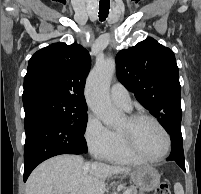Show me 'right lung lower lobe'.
I'll return each instance as SVG.
<instances>
[{"label": "right lung lower lobe", "instance_id": "right-lung-lower-lobe-1", "mask_svg": "<svg viewBox=\"0 0 201 194\" xmlns=\"http://www.w3.org/2000/svg\"><path fill=\"white\" fill-rule=\"evenodd\" d=\"M24 181L42 161L60 154H82L87 144L72 125L39 109L25 111Z\"/></svg>", "mask_w": 201, "mask_h": 194}]
</instances>
